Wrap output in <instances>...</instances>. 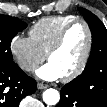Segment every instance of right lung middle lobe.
Masks as SVG:
<instances>
[{
  "mask_svg": "<svg viewBox=\"0 0 107 107\" xmlns=\"http://www.w3.org/2000/svg\"><path fill=\"white\" fill-rule=\"evenodd\" d=\"M27 24L16 17L0 15V66L14 65L10 44L19 31Z\"/></svg>",
  "mask_w": 107,
  "mask_h": 107,
  "instance_id": "right-lung-middle-lobe-1",
  "label": "right lung middle lobe"
}]
</instances>
